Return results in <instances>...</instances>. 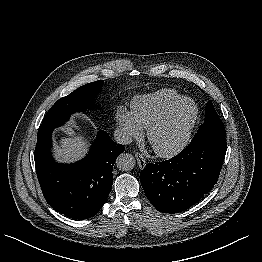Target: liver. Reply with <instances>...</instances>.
<instances>
[{
    "instance_id": "obj_1",
    "label": "liver",
    "mask_w": 262,
    "mask_h": 262,
    "mask_svg": "<svg viewBox=\"0 0 262 262\" xmlns=\"http://www.w3.org/2000/svg\"><path fill=\"white\" fill-rule=\"evenodd\" d=\"M88 138L68 131V137H62L55 149L56 159L60 162H74L82 158L88 148Z\"/></svg>"
}]
</instances>
